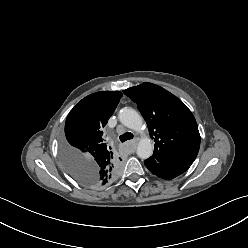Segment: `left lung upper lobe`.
I'll list each match as a JSON object with an SVG mask.
<instances>
[{"instance_id": "1", "label": "left lung upper lobe", "mask_w": 248, "mask_h": 248, "mask_svg": "<svg viewBox=\"0 0 248 248\" xmlns=\"http://www.w3.org/2000/svg\"><path fill=\"white\" fill-rule=\"evenodd\" d=\"M123 92L137 103L154 139V152L150 158L160 163L195 160L200 134L193 114L180 99L152 83H143Z\"/></svg>"}]
</instances>
